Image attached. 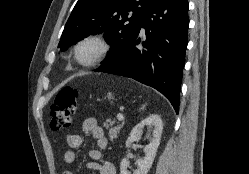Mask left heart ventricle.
Segmentation results:
<instances>
[{
    "label": "left heart ventricle",
    "instance_id": "1",
    "mask_svg": "<svg viewBox=\"0 0 249 174\" xmlns=\"http://www.w3.org/2000/svg\"><path fill=\"white\" fill-rule=\"evenodd\" d=\"M99 47L95 43L84 44L79 51L80 58L83 60H89L97 55Z\"/></svg>",
    "mask_w": 249,
    "mask_h": 174
}]
</instances>
